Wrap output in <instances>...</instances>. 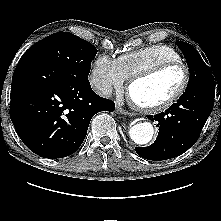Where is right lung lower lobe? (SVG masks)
Instances as JSON below:
<instances>
[{
    "mask_svg": "<svg viewBox=\"0 0 221 221\" xmlns=\"http://www.w3.org/2000/svg\"><path fill=\"white\" fill-rule=\"evenodd\" d=\"M10 118L23 143L49 159L73 154L84 141L91 118L113 111L88 79L32 56H22L13 77Z\"/></svg>",
    "mask_w": 221,
    "mask_h": 221,
    "instance_id": "1",
    "label": "right lung lower lobe"
}]
</instances>
